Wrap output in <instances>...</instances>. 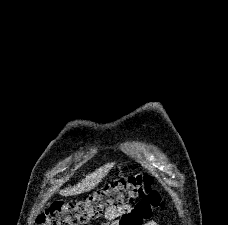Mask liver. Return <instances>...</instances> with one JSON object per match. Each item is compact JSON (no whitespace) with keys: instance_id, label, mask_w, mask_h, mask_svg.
<instances>
[{"instance_id":"obj_1","label":"liver","mask_w":228,"mask_h":225,"mask_svg":"<svg viewBox=\"0 0 228 225\" xmlns=\"http://www.w3.org/2000/svg\"><path fill=\"white\" fill-rule=\"evenodd\" d=\"M115 163H107L104 167H100V169H96L94 173L91 175H86L85 179H82L78 185L75 187H68V189H62L59 195L62 197H71V195H81V193H87V191H91L94 189L102 179H104L105 175L109 173L110 169L114 167Z\"/></svg>"}]
</instances>
